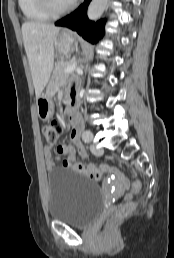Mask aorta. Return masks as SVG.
Segmentation results:
<instances>
[{"label": "aorta", "mask_w": 174, "mask_h": 258, "mask_svg": "<svg viewBox=\"0 0 174 258\" xmlns=\"http://www.w3.org/2000/svg\"><path fill=\"white\" fill-rule=\"evenodd\" d=\"M109 0H92L88 10L87 16L90 20H97L105 11Z\"/></svg>", "instance_id": "obj_1"}]
</instances>
